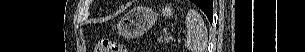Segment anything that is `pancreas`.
Returning <instances> with one entry per match:
<instances>
[{
    "label": "pancreas",
    "mask_w": 305,
    "mask_h": 52,
    "mask_svg": "<svg viewBox=\"0 0 305 52\" xmlns=\"http://www.w3.org/2000/svg\"><path fill=\"white\" fill-rule=\"evenodd\" d=\"M158 41L162 43H170L173 41V38L169 35H165L164 37L158 38Z\"/></svg>",
    "instance_id": "pancreas-1"
}]
</instances>
